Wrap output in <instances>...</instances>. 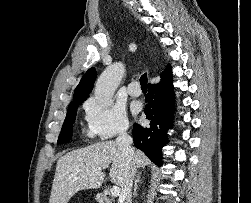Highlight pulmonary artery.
I'll list each match as a JSON object with an SVG mask.
<instances>
[{"mask_svg": "<svg viewBox=\"0 0 251 203\" xmlns=\"http://www.w3.org/2000/svg\"><path fill=\"white\" fill-rule=\"evenodd\" d=\"M127 92L130 96L132 97H138L141 94V90L139 88V84L136 81L131 82L128 86H127Z\"/></svg>", "mask_w": 251, "mask_h": 203, "instance_id": "obj_1", "label": "pulmonary artery"}]
</instances>
